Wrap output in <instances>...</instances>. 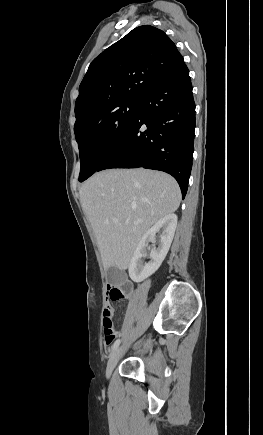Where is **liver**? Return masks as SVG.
I'll return each mask as SVG.
<instances>
[{"instance_id":"obj_1","label":"liver","mask_w":263,"mask_h":435,"mask_svg":"<svg viewBox=\"0 0 263 435\" xmlns=\"http://www.w3.org/2000/svg\"><path fill=\"white\" fill-rule=\"evenodd\" d=\"M80 202L94 231L105 270H126L149 228L175 212L181 201L176 180L147 169H109L80 188ZM113 219L119 223L114 224Z\"/></svg>"}]
</instances>
